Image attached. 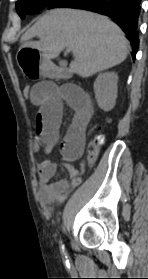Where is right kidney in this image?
I'll return each mask as SVG.
<instances>
[{"mask_svg": "<svg viewBox=\"0 0 148 279\" xmlns=\"http://www.w3.org/2000/svg\"><path fill=\"white\" fill-rule=\"evenodd\" d=\"M118 76L114 72H105L98 75L94 82L95 98L98 106L105 112L112 110L118 93Z\"/></svg>", "mask_w": 148, "mask_h": 279, "instance_id": "1", "label": "right kidney"}]
</instances>
